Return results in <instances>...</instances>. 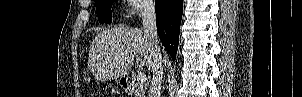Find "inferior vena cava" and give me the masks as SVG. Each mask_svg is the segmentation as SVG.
Wrapping results in <instances>:
<instances>
[{
  "instance_id": "1",
  "label": "inferior vena cava",
  "mask_w": 302,
  "mask_h": 97,
  "mask_svg": "<svg viewBox=\"0 0 302 97\" xmlns=\"http://www.w3.org/2000/svg\"><path fill=\"white\" fill-rule=\"evenodd\" d=\"M143 28L145 33L150 37L154 49L152 62V80L149 89V97H160V90L163 77V62L160 53V46L157 36L155 7L152 1H146L142 10Z\"/></svg>"
}]
</instances>
